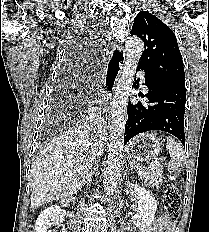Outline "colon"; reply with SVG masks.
Wrapping results in <instances>:
<instances>
[{"mask_svg":"<svg viewBox=\"0 0 209 232\" xmlns=\"http://www.w3.org/2000/svg\"><path fill=\"white\" fill-rule=\"evenodd\" d=\"M181 206V198L178 189L172 184L167 183L163 193V215L165 221H174L177 219ZM28 232H34L30 229Z\"/></svg>","mask_w":209,"mask_h":232,"instance_id":"1","label":"colon"}]
</instances>
